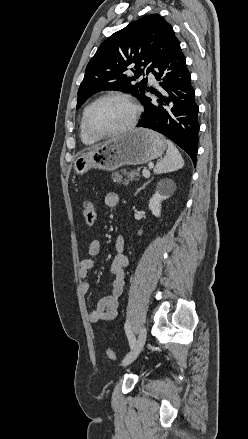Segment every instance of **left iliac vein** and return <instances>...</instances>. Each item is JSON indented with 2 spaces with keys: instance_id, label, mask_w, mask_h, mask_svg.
I'll use <instances>...</instances> for the list:
<instances>
[{
  "instance_id": "4c4485c4",
  "label": "left iliac vein",
  "mask_w": 248,
  "mask_h": 439,
  "mask_svg": "<svg viewBox=\"0 0 248 439\" xmlns=\"http://www.w3.org/2000/svg\"><path fill=\"white\" fill-rule=\"evenodd\" d=\"M146 335H147V330H146V327L143 326L139 331V334H138V337H137V340H136L134 346L127 353V355L123 358L122 366H128L138 357V355L140 354V352L142 351V349L144 347Z\"/></svg>"
}]
</instances>
